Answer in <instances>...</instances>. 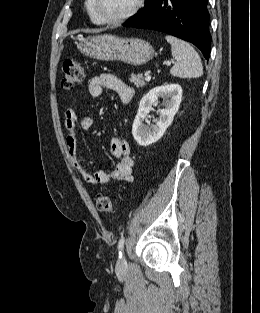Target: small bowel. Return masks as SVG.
<instances>
[{
  "instance_id": "c3829d8e",
  "label": "small bowel",
  "mask_w": 260,
  "mask_h": 313,
  "mask_svg": "<svg viewBox=\"0 0 260 313\" xmlns=\"http://www.w3.org/2000/svg\"><path fill=\"white\" fill-rule=\"evenodd\" d=\"M104 89L116 92L123 104L129 103L134 95L133 89L114 75L101 74L90 78L87 87L90 96L100 97ZM77 125L84 130L90 129L93 126L92 115L84 114L79 117L73 108L66 109L64 113V127L68 132L66 146L78 175L90 185L109 184L115 181H132L134 162L131 157L129 143L121 138H114L111 149L114 156L118 158V162L113 170L110 172L103 170L91 171L83 165L78 155Z\"/></svg>"
}]
</instances>
